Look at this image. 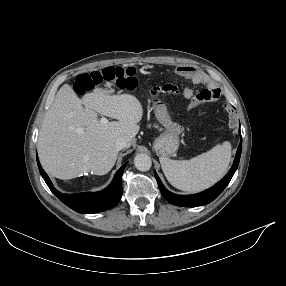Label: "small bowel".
Masks as SVG:
<instances>
[{
    "label": "small bowel",
    "instance_id": "obj_1",
    "mask_svg": "<svg viewBox=\"0 0 286 286\" xmlns=\"http://www.w3.org/2000/svg\"><path fill=\"white\" fill-rule=\"evenodd\" d=\"M177 74H179L182 77L189 78L192 80L193 83L195 84H206L208 85L207 89L202 90L195 96H193V91L191 88H186L184 91V94L187 98H191V101L189 102L187 108L188 110L193 109L197 107L198 105L205 103V102H211L214 100H217L221 93L220 89L214 87L213 85L210 84L208 78L206 75L200 71H197L191 66H180L176 70ZM197 95H200L202 97L201 102H196L195 97Z\"/></svg>",
    "mask_w": 286,
    "mask_h": 286
}]
</instances>
